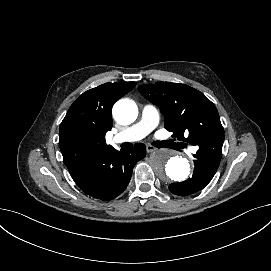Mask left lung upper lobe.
<instances>
[{
	"label": "left lung upper lobe",
	"mask_w": 271,
	"mask_h": 271,
	"mask_svg": "<svg viewBox=\"0 0 271 271\" xmlns=\"http://www.w3.org/2000/svg\"><path fill=\"white\" fill-rule=\"evenodd\" d=\"M138 91L159 106L165 115V127L173 137L222 155L224 129L215 105L200 91L171 82L144 84ZM189 133L184 138V133Z\"/></svg>",
	"instance_id": "left-lung-upper-lobe-1"
}]
</instances>
